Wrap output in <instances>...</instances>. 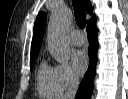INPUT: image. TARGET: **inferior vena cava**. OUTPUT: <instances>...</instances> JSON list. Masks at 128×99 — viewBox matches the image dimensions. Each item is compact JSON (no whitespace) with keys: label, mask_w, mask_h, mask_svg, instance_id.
<instances>
[{"label":"inferior vena cava","mask_w":128,"mask_h":99,"mask_svg":"<svg viewBox=\"0 0 128 99\" xmlns=\"http://www.w3.org/2000/svg\"><path fill=\"white\" fill-rule=\"evenodd\" d=\"M79 86L78 78H71L67 91L64 94L63 99H74Z\"/></svg>","instance_id":"obj_1"}]
</instances>
